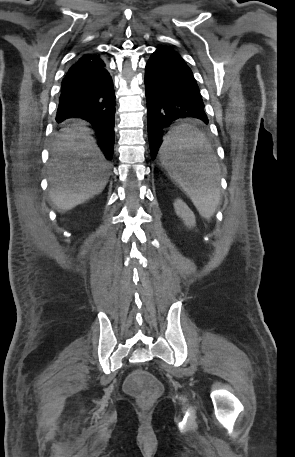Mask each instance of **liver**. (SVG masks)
<instances>
[{"mask_svg":"<svg viewBox=\"0 0 295 457\" xmlns=\"http://www.w3.org/2000/svg\"><path fill=\"white\" fill-rule=\"evenodd\" d=\"M86 123L75 120L64 128L55 152L69 154V160L50 163V199L60 211H68L101 193L108 181L105 158Z\"/></svg>","mask_w":295,"mask_h":457,"instance_id":"obj_1","label":"liver"}]
</instances>
